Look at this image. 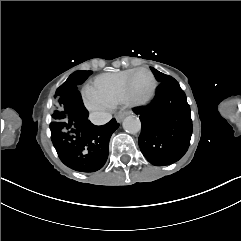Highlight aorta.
<instances>
[{"label":"aorta","mask_w":241,"mask_h":241,"mask_svg":"<svg viewBox=\"0 0 241 241\" xmlns=\"http://www.w3.org/2000/svg\"><path fill=\"white\" fill-rule=\"evenodd\" d=\"M123 129L130 134L138 133L141 130V122L139 118L128 116L123 121Z\"/></svg>","instance_id":"obj_1"}]
</instances>
